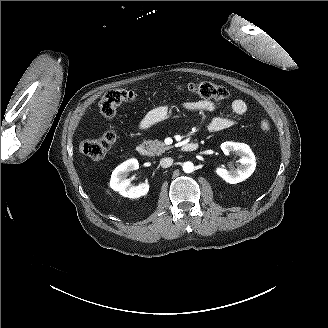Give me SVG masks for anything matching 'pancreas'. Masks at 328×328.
Listing matches in <instances>:
<instances>
[{
  "mask_svg": "<svg viewBox=\"0 0 328 328\" xmlns=\"http://www.w3.org/2000/svg\"><path fill=\"white\" fill-rule=\"evenodd\" d=\"M146 148L150 152L149 156L161 155L165 151L169 150L171 147L166 146L165 143L160 142L159 140H148L145 141Z\"/></svg>",
  "mask_w": 328,
  "mask_h": 328,
  "instance_id": "1",
  "label": "pancreas"
}]
</instances>
